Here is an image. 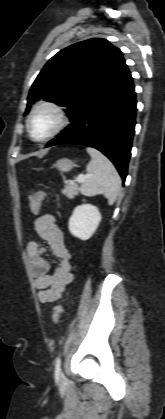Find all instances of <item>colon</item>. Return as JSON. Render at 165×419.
Returning a JSON list of instances; mask_svg holds the SVG:
<instances>
[{"instance_id": "obj_1", "label": "colon", "mask_w": 165, "mask_h": 419, "mask_svg": "<svg viewBox=\"0 0 165 419\" xmlns=\"http://www.w3.org/2000/svg\"><path fill=\"white\" fill-rule=\"evenodd\" d=\"M45 198H46V193L43 191H36L30 195L29 207L32 214L34 215L39 214L42 202ZM62 310L63 309L61 305H57L54 307L53 312H52V320L55 324H57L60 321Z\"/></svg>"}]
</instances>
